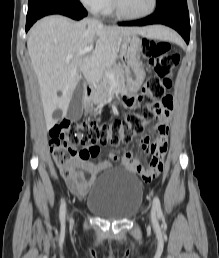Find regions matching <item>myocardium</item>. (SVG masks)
Instances as JSON below:
<instances>
[{
    "label": "myocardium",
    "instance_id": "myocardium-1",
    "mask_svg": "<svg viewBox=\"0 0 219 258\" xmlns=\"http://www.w3.org/2000/svg\"><path fill=\"white\" fill-rule=\"evenodd\" d=\"M111 2H112V8L115 14L121 18L129 19V20H137V19H142L150 16L155 12L158 5V0H153L151 8L147 12L142 14L132 15V14H127L123 11V9L120 6L119 0H111Z\"/></svg>",
    "mask_w": 219,
    "mask_h": 258
}]
</instances>
